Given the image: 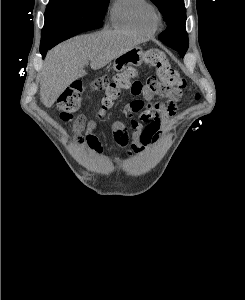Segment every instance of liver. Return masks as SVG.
Returning a JSON list of instances; mask_svg holds the SVG:
<instances>
[{
	"instance_id": "liver-1",
	"label": "liver",
	"mask_w": 245,
	"mask_h": 300,
	"mask_svg": "<svg viewBox=\"0 0 245 300\" xmlns=\"http://www.w3.org/2000/svg\"><path fill=\"white\" fill-rule=\"evenodd\" d=\"M141 40L132 34L112 30L81 35L48 52L40 74V98L50 108L60 94L75 80L87 74L90 61L93 70L136 47Z\"/></svg>"
}]
</instances>
